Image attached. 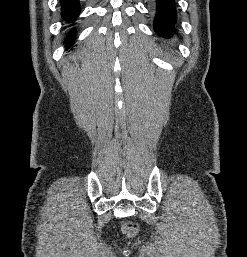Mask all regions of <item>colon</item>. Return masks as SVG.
<instances>
[{"label":"colon","mask_w":247,"mask_h":257,"mask_svg":"<svg viewBox=\"0 0 247 257\" xmlns=\"http://www.w3.org/2000/svg\"><path fill=\"white\" fill-rule=\"evenodd\" d=\"M123 231L128 236H134L138 232V224L133 221L127 222L123 225Z\"/></svg>","instance_id":"obj_1"}]
</instances>
